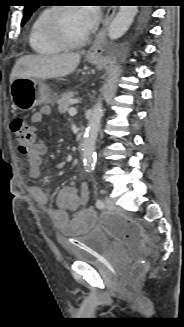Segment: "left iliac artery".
<instances>
[{
	"mask_svg": "<svg viewBox=\"0 0 184 327\" xmlns=\"http://www.w3.org/2000/svg\"><path fill=\"white\" fill-rule=\"evenodd\" d=\"M96 206L98 207V208H104V202H103V200H101V199H98L97 201H96Z\"/></svg>",
	"mask_w": 184,
	"mask_h": 327,
	"instance_id": "obj_1",
	"label": "left iliac artery"
}]
</instances>
